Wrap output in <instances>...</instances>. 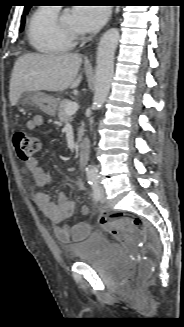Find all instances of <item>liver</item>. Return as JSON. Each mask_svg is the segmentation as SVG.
<instances>
[{
  "instance_id": "6515ba94",
  "label": "liver",
  "mask_w": 184,
  "mask_h": 327,
  "mask_svg": "<svg viewBox=\"0 0 184 327\" xmlns=\"http://www.w3.org/2000/svg\"><path fill=\"white\" fill-rule=\"evenodd\" d=\"M81 63V56L74 53H28L20 56L11 74V105L15 106L24 92H58L78 87L82 80V74L78 75Z\"/></svg>"
}]
</instances>
